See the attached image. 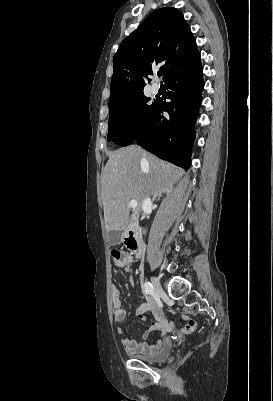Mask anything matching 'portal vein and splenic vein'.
I'll use <instances>...</instances> for the list:
<instances>
[{
  "mask_svg": "<svg viewBox=\"0 0 273 401\" xmlns=\"http://www.w3.org/2000/svg\"><path fill=\"white\" fill-rule=\"evenodd\" d=\"M137 205H138L137 201H130V207H132V209H135Z\"/></svg>",
  "mask_w": 273,
  "mask_h": 401,
  "instance_id": "portal-vein-and-splenic-vein-1",
  "label": "portal vein and splenic vein"
}]
</instances>
